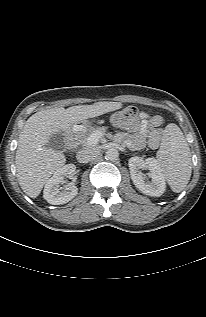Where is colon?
<instances>
[{
    "mask_svg": "<svg viewBox=\"0 0 206 317\" xmlns=\"http://www.w3.org/2000/svg\"><path fill=\"white\" fill-rule=\"evenodd\" d=\"M138 118V109L131 106L113 113L110 117V122L115 127L131 129L136 126Z\"/></svg>",
    "mask_w": 206,
    "mask_h": 317,
    "instance_id": "1",
    "label": "colon"
}]
</instances>
